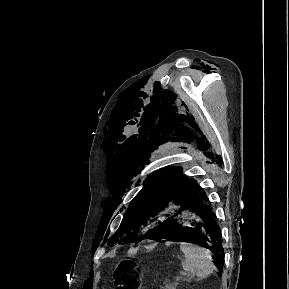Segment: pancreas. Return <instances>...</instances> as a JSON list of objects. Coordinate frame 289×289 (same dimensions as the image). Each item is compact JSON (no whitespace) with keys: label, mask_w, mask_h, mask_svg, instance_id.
Returning <instances> with one entry per match:
<instances>
[{"label":"pancreas","mask_w":289,"mask_h":289,"mask_svg":"<svg viewBox=\"0 0 289 289\" xmlns=\"http://www.w3.org/2000/svg\"><path fill=\"white\" fill-rule=\"evenodd\" d=\"M177 284L175 283H170V284H166L162 287V289H176Z\"/></svg>","instance_id":"pancreas-1"}]
</instances>
